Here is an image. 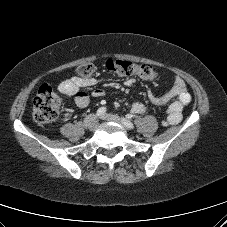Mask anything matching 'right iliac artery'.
<instances>
[{"instance_id": "right-iliac-artery-1", "label": "right iliac artery", "mask_w": 227, "mask_h": 227, "mask_svg": "<svg viewBox=\"0 0 227 227\" xmlns=\"http://www.w3.org/2000/svg\"><path fill=\"white\" fill-rule=\"evenodd\" d=\"M105 112H106V107H100V108L97 110L96 115H97L98 117H100V116L104 115Z\"/></svg>"}]
</instances>
